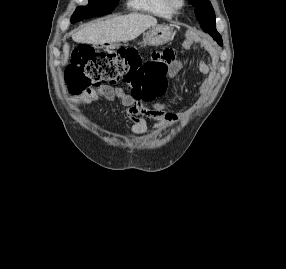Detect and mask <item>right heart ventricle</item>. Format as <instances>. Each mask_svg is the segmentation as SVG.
Masks as SVG:
<instances>
[{
    "label": "right heart ventricle",
    "mask_w": 286,
    "mask_h": 269,
    "mask_svg": "<svg viewBox=\"0 0 286 269\" xmlns=\"http://www.w3.org/2000/svg\"><path fill=\"white\" fill-rule=\"evenodd\" d=\"M127 7L132 11L161 18H170L173 15L166 0H127Z\"/></svg>",
    "instance_id": "1"
}]
</instances>
